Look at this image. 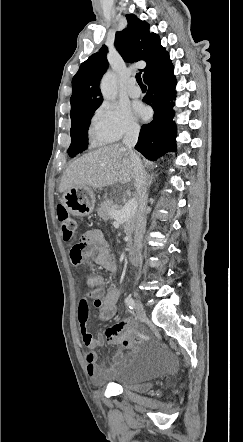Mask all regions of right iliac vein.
Listing matches in <instances>:
<instances>
[{
  "label": "right iliac vein",
  "mask_w": 243,
  "mask_h": 442,
  "mask_svg": "<svg viewBox=\"0 0 243 442\" xmlns=\"http://www.w3.org/2000/svg\"><path fill=\"white\" fill-rule=\"evenodd\" d=\"M135 308H136V313L137 316L140 320H145L146 319V313L145 310L142 306V304L140 303V301L138 299L135 300Z\"/></svg>",
  "instance_id": "63e3f726"
}]
</instances>
